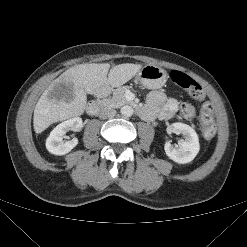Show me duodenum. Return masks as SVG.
<instances>
[{"instance_id":"obj_1","label":"duodenum","mask_w":247,"mask_h":247,"mask_svg":"<svg viewBox=\"0 0 247 247\" xmlns=\"http://www.w3.org/2000/svg\"><path fill=\"white\" fill-rule=\"evenodd\" d=\"M110 90V83H105L98 89L97 99L90 101L86 105V113L88 115L94 116L101 110L102 100L109 94ZM138 112L143 115V109H138Z\"/></svg>"}]
</instances>
